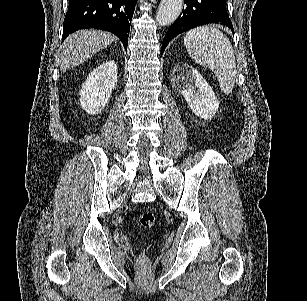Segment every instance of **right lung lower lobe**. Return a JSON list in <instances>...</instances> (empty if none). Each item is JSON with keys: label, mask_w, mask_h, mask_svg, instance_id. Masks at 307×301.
<instances>
[{"label": "right lung lower lobe", "mask_w": 307, "mask_h": 301, "mask_svg": "<svg viewBox=\"0 0 307 301\" xmlns=\"http://www.w3.org/2000/svg\"><path fill=\"white\" fill-rule=\"evenodd\" d=\"M63 23V40L85 28L112 32L127 48V40L136 0H68Z\"/></svg>", "instance_id": "1"}]
</instances>
